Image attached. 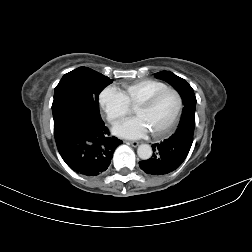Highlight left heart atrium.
<instances>
[{"mask_svg":"<svg viewBox=\"0 0 252 252\" xmlns=\"http://www.w3.org/2000/svg\"><path fill=\"white\" fill-rule=\"evenodd\" d=\"M148 128L142 118L136 116L126 119L116 125L113 129L114 134L124 138H141L148 133Z\"/></svg>","mask_w":252,"mask_h":252,"instance_id":"left-heart-atrium-1","label":"left heart atrium"}]
</instances>
